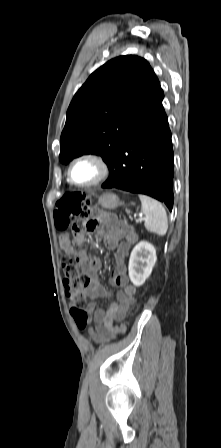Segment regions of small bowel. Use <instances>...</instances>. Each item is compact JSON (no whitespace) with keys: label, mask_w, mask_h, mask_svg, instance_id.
<instances>
[{"label":"small bowel","mask_w":221,"mask_h":448,"mask_svg":"<svg viewBox=\"0 0 221 448\" xmlns=\"http://www.w3.org/2000/svg\"><path fill=\"white\" fill-rule=\"evenodd\" d=\"M94 220L96 221V238L99 239L104 236L107 248L116 249V266L113 270L111 282L120 287V290L116 294V301L110 304L107 312L95 307L97 298L110 295V292L96 278V273L101 267L100 259L88 257L83 251L76 249V246L83 242V237H71L68 234H62L59 243L67 254L80 260L83 269L90 277L88 285L90 302L87 310L93 313L94 327L89 328V335L94 341L103 343L125 331V326H115L114 322L122 321L126 317L130 305L135 301L136 289L133 285L127 283L123 260L130 246L136 242L137 235L129 226L120 223L114 215L107 212H96Z\"/></svg>","instance_id":"small-bowel-1"}]
</instances>
